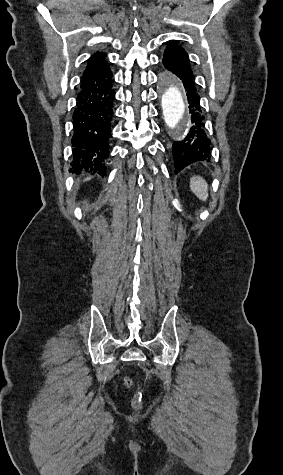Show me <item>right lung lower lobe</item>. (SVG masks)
<instances>
[{"mask_svg":"<svg viewBox=\"0 0 283 475\" xmlns=\"http://www.w3.org/2000/svg\"><path fill=\"white\" fill-rule=\"evenodd\" d=\"M113 75L109 68L82 74L73 120L72 168L106 174L108 140L114 114ZM80 173V169L76 170Z\"/></svg>","mask_w":283,"mask_h":475,"instance_id":"obj_1","label":"right lung lower lobe"}]
</instances>
